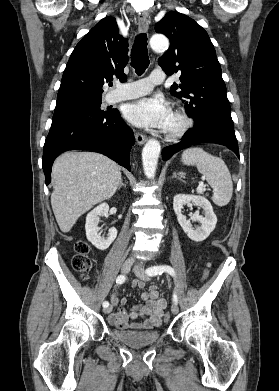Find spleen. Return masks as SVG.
Returning <instances> with one entry per match:
<instances>
[{"label": "spleen", "instance_id": "1", "mask_svg": "<svg viewBox=\"0 0 279 391\" xmlns=\"http://www.w3.org/2000/svg\"><path fill=\"white\" fill-rule=\"evenodd\" d=\"M181 161L185 165L196 166L213 188V202L222 207L232 197L233 183L225 162L199 147L188 148L182 153Z\"/></svg>", "mask_w": 279, "mask_h": 391}]
</instances>
